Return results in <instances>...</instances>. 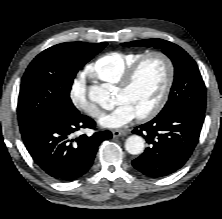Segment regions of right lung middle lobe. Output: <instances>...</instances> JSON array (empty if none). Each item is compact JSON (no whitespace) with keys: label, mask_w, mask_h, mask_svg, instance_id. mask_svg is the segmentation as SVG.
<instances>
[{"label":"right lung middle lobe","mask_w":222,"mask_h":219,"mask_svg":"<svg viewBox=\"0 0 222 219\" xmlns=\"http://www.w3.org/2000/svg\"><path fill=\"white\" fill-rule=\"evenodd\" d=\"M106 45V42L61 43L34 58L20 86L17 114L21 132L46 121L59 110L76 109L70 99L73 79Z\"/></svg>","instance_id":"dd1d6c3e"}]
</instances>
